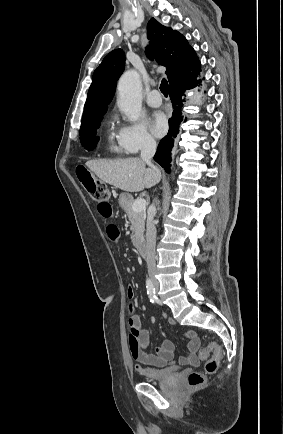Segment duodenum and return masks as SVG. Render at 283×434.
<instances>
[{"label": "duodenum", "instance_id": "410a0bca", "mask_svg": "<svg viewBox=\"0 0 283 434\" xmlns=\"http://www.w3.org/2000/svg\"><path fill=\"white\" fill-rule=\"evenodd\" d=\"M137 249L139 251V254L145 258L147 256V245L144 241H139L137 243Z\"/></svg>", "mask_w": 283, "mask_h": 434}]
</instances>
